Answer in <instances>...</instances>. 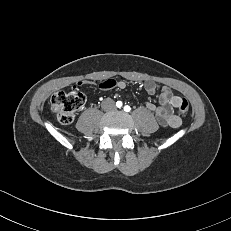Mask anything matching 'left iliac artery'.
Segmentation results:
<instances>
[{
	"instance_id": "obj_1",
	"label": "left iliac artery",
	"mask_w": 231,
	"mask_h": 231,
	"mask_svg": "<svg viewBox=\"0 0 231 231\" xmlns=\"http://www.w3.org/2000/svg\"><path fill=\"white\" fill-rule=\"evenodd\" d=\"M124 110H125L126 112H129V111L131 110V108H130L128 105H126V106L124 107Z\"/></svg>"
}]
</instances>
